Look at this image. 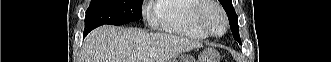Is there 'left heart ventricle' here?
<instances>
[{"instance_id":"b2bd125f","label":"left heart ventricle","mask_w":331,"mask_h":62,"mask_svg":"<svg viewBox=\"0 0 331 62\" xmlns=\"http://www.w3.org/2000/svg\"><path fill=\"white\" fill-rule=\"evenodd\" d=\"M206 16L208 24L211 28L215 32L220 33L223 29V22L220 14L216 10H210Z\"/></svg>"}]
</instances>
